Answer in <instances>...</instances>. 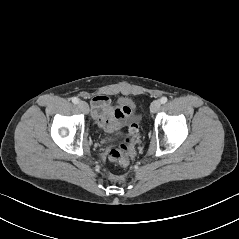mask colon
Returning a JSON list of instances; mask_svg holds the SVG:
<instances>
[{
  "instance_id": "obj_1",
  "label": "colon",
  "mask_w": 239,
  "mask_h": 239,
  "mask_svg": "<svg viewBox=\"0 0 239 239\" xmlns=\"http://www.w3.org/2000/svg\"><path fill=\"white\" fill-rule=\"evenodd\" d=\"M129 133L132 136L137 135L138 133V127L137 125L133 124L129 128ZM130 139H125L122 143L115 146L109 153V159L114 162L118 163L120 165H127L130 160Z\"/></svg>"
}]
</instances>
